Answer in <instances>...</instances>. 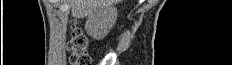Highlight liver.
<instances>
[{"label": "liver", "mask_w": 232, "mask_h": 65, "mask_svg": "<svg viewBox=\"0 0 232 65\" xmlns=\"http://www.w3.org/2000/svg\"><path fill=\"white\" fill-rule=\"evenodd\" d=\"M121 1L122 0H68L72 15L75 18H84L100 8L115 5Z\"/></svg>", "instance_id": "liver-1"}]
</instances>
